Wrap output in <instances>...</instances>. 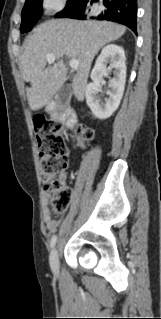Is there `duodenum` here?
Segmentation results:
<instances>
[{"label":"duodenum","mask_w":161,"mask_h":319,"mask_svg":"<svg viewBox=\"0 0 161 319\" xmlns=\"http://www.w3.org/2000/svg\"><path fill=\"white\" fill-rule=\"evenodd\" d=\"M48 113L58 122L66 123L68 126H73L77 123L75 111L71 108H64L61 102H53L48 107Z\"/></svg>","instance_id":"duodenum-1"}]
</instances>
